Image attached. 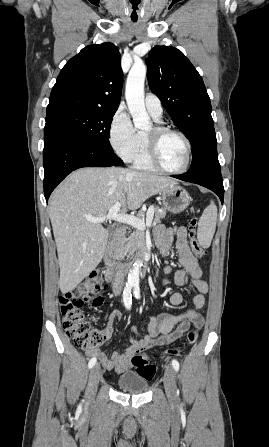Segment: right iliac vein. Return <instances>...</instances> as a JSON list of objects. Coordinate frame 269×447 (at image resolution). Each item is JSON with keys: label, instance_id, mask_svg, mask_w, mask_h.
Masks as SVG:
<instances>
[{"label": "right iliac vein", "instance_id": "right-iliac-vein-1", "mask_svg": "<svg viewBox=\"0 0 269 447\" xmlns=\"http://www.w3.org/2000/svg\"><path fill=\"white\" fill-rule=\"evenodd\" d=\"M100 376H101V370L100 366L97 364L90 371L87 390L85 393L87 404H92L94 401Z\"/></svg>", "mask_w": 269, "mask_h": 447}]
</instances>
